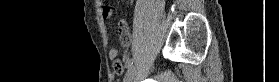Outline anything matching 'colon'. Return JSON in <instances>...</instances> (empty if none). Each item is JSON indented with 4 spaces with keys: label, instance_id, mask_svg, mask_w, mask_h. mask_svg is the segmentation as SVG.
<instances>
[{
    "label": "colon",
    "instance_id": "5ec220e1",
    "mask_svg": "<svg viewBox=\"0 0 279 82\" xmlns=\"http://www.w3.org/2000/svg\"><path fill=\"white\" fill-rule=\"evenodd\" d=\"M123 23H124V21L121 20L119 24H120V25H123ZM116 67H119V65H116Z\"/></svg>",
    "mask_w": 279,
    "mask_h": 82
}]
</instances>
